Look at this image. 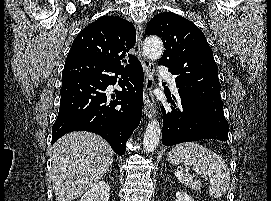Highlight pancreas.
Returning a JSON list of instances; mask_svg holds the SVG:
<instances>
[{
	"mask_svg": "<svg viewBox=\"0 0 271 201\" xmlns=\"http://www.w3.org/2000/svg\"><path fill=\"white\" fill-rule=\"evenodd\" d=\"M193 189L196 191H200V184L197 183Z\"/></svg>",
	"mask_w": 271,
	"mask_h": 201,
	"instance_id": "cf45deb5",
	"label": "pancreas"
}]
</instances>
